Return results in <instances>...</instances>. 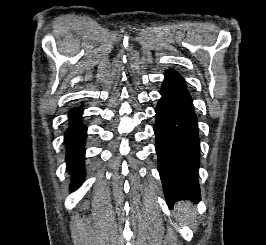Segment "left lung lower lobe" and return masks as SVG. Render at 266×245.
<instances>
[{"instance_id":"left-lung-lower-lobe-1","label":"left lung lower lobe","mask_w":266,"mask_h":245,"mask_svg":"<svg viewBox=\"0 0 266 245\" xmlns=\"http://www.w3.org/2000/svg\"><path fill=\"white\" fill-rule=\"evenodd\" d=\"M155 110L158 171L167 204L201 199L197 178L200 139L192 98L182 76L167 70Z\"/></svg>"}]
</instances>
